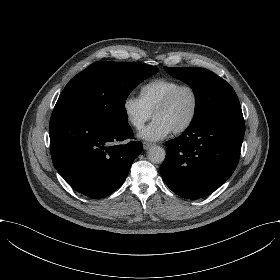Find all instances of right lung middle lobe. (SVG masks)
Instances as JSON below:
<instances>
[{"label": "right lung middle lobe", "instance_id": "1", "mask_svg": "<svg viewBox=\"0 0 280 280\" xmlns=\"http://www.w3.org/2000/svg\"><path fill=\"white\" fill-rule=\"evenodd\" d=\"M158 71L155 66L138 63L95 62L69 81L53 113L72 112L101 122H127L124 104L129 93Z\"/></svg>", "mask_w": 280, "mask_h": 280}]
</instances>
